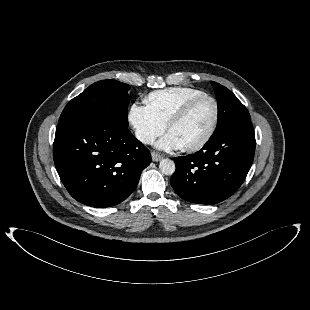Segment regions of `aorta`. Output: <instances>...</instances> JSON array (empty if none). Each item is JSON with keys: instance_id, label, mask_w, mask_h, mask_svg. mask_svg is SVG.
<instances>
[{"instance_id": "obj_1", "label": "aorta", "mask_w": 310, "mask_h": 310, "mask_svg": "<svg viewBox=\"0 0 310 310\" xmlns=\"http://www.w3.org/2000/svg\"><path fill=\"white\" fill-rule=\"evenodd\" d=\"M159 169L164 175H172L175 172L176 166L171 159H162L159 163Z\"/></svg>"}]
</instances>
